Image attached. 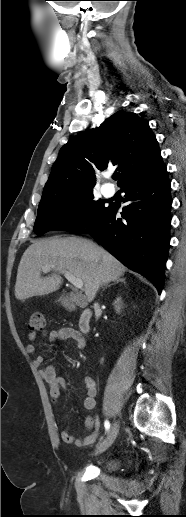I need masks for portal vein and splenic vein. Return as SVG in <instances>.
<instances>
[{
	"label": "portal vein and splenic vein",
	"instance_id": "obj_1",
	"mask_svg": "<svg viewBox=\"0 0 186 517\" xmlns=\"http://www.w3.org/2000/svg\"><path fill=\"white\" fill-rule=\"evenodd\" d=\"M53 267L45 266L42 268L43 272H49ZM60 273H63L65 278L76 288L81 289L83 287V281L80 278L75 277L73 274L67 271H60Z\"/></svg>",
	"mask_w": 186,
	"mask_h": 517
}]
</instances>
